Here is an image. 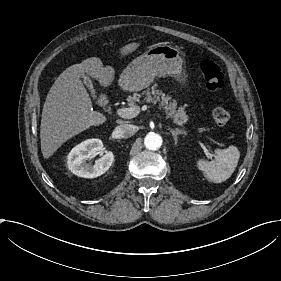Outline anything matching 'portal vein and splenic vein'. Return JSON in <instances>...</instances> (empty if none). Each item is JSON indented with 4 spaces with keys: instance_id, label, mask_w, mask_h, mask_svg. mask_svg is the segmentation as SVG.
I'll return each mask as SVG.
<instances>
[{
    "instance_id": "1",
    "label": "portal vein and splenic vein",
    "mask_w": 281,
    "mask_h": 281,
    "mask_svg": "<svg viewBox=\"0 0 281 281\" xmlns=\"http://www.w3.org/2000/svg\"><path fill=\"white\" fill-rule=\"evenodd\" d=\"M141 109L143 111H145L146 109H148V110L150 109L154 113L155 116L157 115V112L154 109H152L151 107L149 108L146 105L142 106ZM139 113H140V107L139 106H130L129 108H120V109L117 110L118 116H120L122 118H125V119L134 118V117L138 116ZM156 117L159 120L162 119L160 115H157ZM208 139H210V141H213L214 143H216L218 145H221V147H224V144H221V142H219L218 140L213 139V137L208 136ZM199 144H200L202 150H204V155L206 156V160L215 162V158H212V154H211V151H209V148L204 147L202 141H199Z\"/></svg>"
}]
</instances>
